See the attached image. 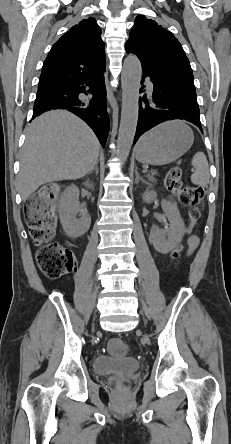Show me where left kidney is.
Wrapping results in <instances>:
<instances>
[{
  "label": "left kidney",
  "mask_w": 231,
  "mask_h": 444,
  "mask_svg": "<svg viewBox=\"0 0 231 444\" xmlns=\"http://www.w3.org/2000/svg\"><path fill=\"white\" fill-rule=\"evenodd\" d=\"M156 197V192L145 191L143 194V201L145 203H151ZM161 205L170 221V227L164 230L155 231L151 236V240L154 248L159 253L167 254L181 242L185 233V224L175 204L163 200Z\"/></svg>",
  "instance_id": "obj_1"
}]
</instances>
